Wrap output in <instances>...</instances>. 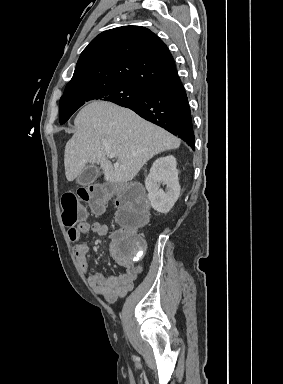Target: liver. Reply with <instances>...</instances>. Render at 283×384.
Returning <instances> with one entry per match:
<instances>
[{"label": "liver", "mask_w": 283, "mask_h": 384, "mask_svg": "<svg viewBox=\"0 0 283 384\" xmlns=\"http://www.w3.org/2000/svg\"><path fill=\"white\" fill-rule=\"evenodd\" d=\"M77 132L65 146L64 166L68 182L82 174L86 164H100L106 182L125 184L156 154L176 150L181 144L163 128L146 122L132 110L111 102L92 100L74 120ZM107 152L116 154L112 166Z\"/></svg>", "instance_id": "liver-1"}]
</instances>
